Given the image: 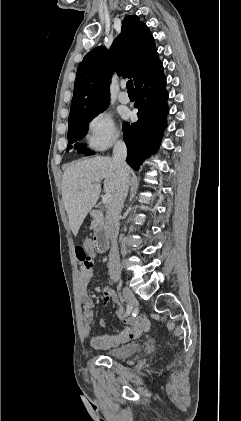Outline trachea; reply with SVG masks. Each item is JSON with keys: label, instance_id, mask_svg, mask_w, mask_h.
<instances>
[{"label": "trachea", "instance_id": "trachea-1", "mask_svg": "<svg viewBox=\"0 0 241 421\" xmlns=\"http://www.w3.org/2000/svg\"><path fill=\"white\" fill-rule=\"evenodd\" d=\"M126 88H127V91L128 92H135V89H134L133 81L132 80H129L127 82Z\"/></svg>", "mask_w": 241, "mask_h": 421}]
</instances>
